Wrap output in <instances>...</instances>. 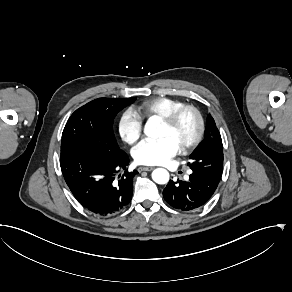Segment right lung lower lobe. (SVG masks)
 I'll return each instance as SVG.
<instances>
[{
    "instance_id": "1",
    "label": "right lung lower lobe",
    "mask_w": 292,
    "mask_h": 292,
    "mask_svg": "<svg viewBox=\"0 0 292 292\" xmlns=\"http://www.w3.org/2000/svg\"><path fill=\"white\" fill-rule=\"evenodd\" d=\"M128 163L125 152L106 157L87 151H67L60 158L62 174L74 197L84 208L101 216L115 214L130 203L133 177L138 172H129ZM120 170H125L123 175H118Z\"/></svg>"
}]
</instances>
